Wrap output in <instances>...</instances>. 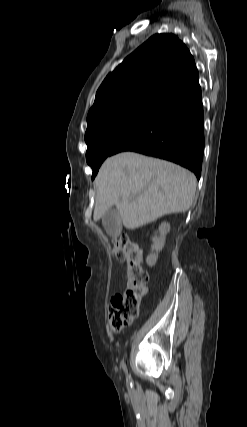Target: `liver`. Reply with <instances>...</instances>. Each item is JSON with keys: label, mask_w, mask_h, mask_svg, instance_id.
<instances>
[{"label": "liver", "mask_w": 247, "mask_h": 427, "mask_svg": "<svg viewBox=\"0 0 247 427\" xmlns=\"http://www.w3.org/2000/svg\"><path fill=\"white\" fill-rule=\"evenodd\" d=\"M196 177L172 162L123 152L107 158L95 179L93 219L114 205L130 230L173 213L186 212L196 191Z\"/></svg>", "instance_id": "liver-1"}]
</instances>
